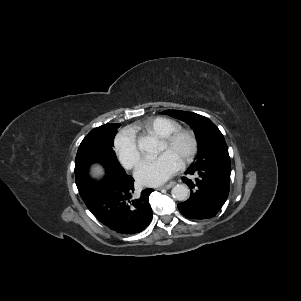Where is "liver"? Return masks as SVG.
<instances>
[{
	"label": "liver",
	"mask_w": 301,
	"mask_h": 301,
	"mask_svg": "<svg viewBox=\"0 0 301 301\" xmlns=\"http://www.w3.org/2000/svg\"><path fill=\"white\" fill-rule=\"evenodd\" d=\"M102 174V169L100 167H96L94 169V176H99Z\"/></svg>",
	"instance_id": "1"
}]
</instances>
